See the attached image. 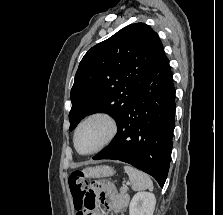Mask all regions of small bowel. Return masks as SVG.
Here are the masks:
<instances>
[{
  "instance_id": "c3829d8e",
  "label": "small bowel",
  "mask_w": 223,
  "mask_h": 215,
  "mask_svg": "<svg viewBox=\"0 0 223 215\" xmlns=\"http://www.w3.org/2000/svg\"><path fill=\"white\" fill-rule=\"evenodd\" d=\"M85 203L94 206L91 215H101L97 208V203L105 205L116 215H124L123 210L129 202V196L126 193L117 191L115 185L110 181L97 180L92 182L85 194Z\"/></svg>"
}]
</instances>
